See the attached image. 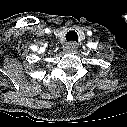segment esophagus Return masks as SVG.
Here are the masks:
<instances>
[{
	"mask_svg": "<svg viewBox=\"0 0 127 127\" xmlns=\"http://www.w3.org/2000/svg\"><path fill=\"white\" fill-rule=\"evenodd\" d=\"M77 49V45L75 43H67L64 47L65 52H75Z\"/></svg>",
	"mask_w": 127,
	"mask_h": 127,
	"instance_id": "1",
	"label": "esophagus"
}]
</instances>
